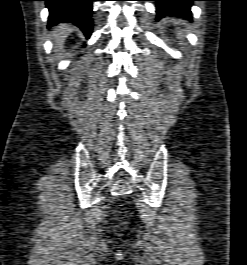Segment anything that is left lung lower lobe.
I'll list each match as a JSON object with an SVG mask.
<instances>
[{
    "label": "left lung lower lobe",
    "mask_w": 247,
    "mask_h": 265,
    "mask_svg": "<svg viewBox=\"0 0 247 265\" xmlns=\"http://www.w3.org/2000/svg\"><path fill=\"white\" fill-rule=\"evenodd\" d=\"M157 2V16L176 15L186 19L191 18L190 6L193 1L200 0H150Z\"/></svg>",
    "instance_id": "1"
}]
</instances>
